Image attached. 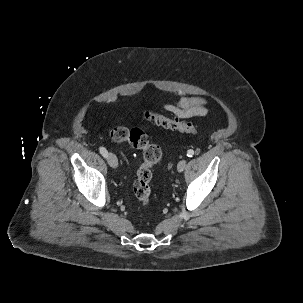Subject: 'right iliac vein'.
I'll list each match as a JSON object with an SVG mask.
<instances>
[{"label": "right iliac vein", "mask_w": 303, "mask_h": 303, "mask_svg": "<svg viewBox=\"0 0 303 303\" xmlns=\"http://www.w3.org/2000/svg\"><path fill=\"white\" fill-rule=\"evenodd\" d=\"M107 162L112 168H116L118 166L117 157L113 153H108Z\"/></svg>", "instance_id": "63e3f726"}]
</instances>
